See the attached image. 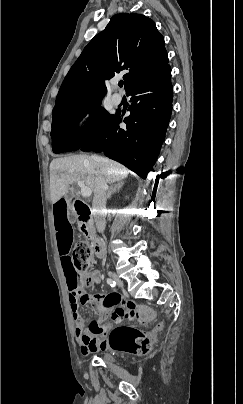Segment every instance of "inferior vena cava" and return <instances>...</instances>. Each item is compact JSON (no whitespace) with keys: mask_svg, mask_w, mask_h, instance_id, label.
Wrapping results in <instances>:
<instances>
[{"mask_svg":"<svg viewBox=\"0 0 243 404\" xmlns=\"http://www.w3.org/2000/svg\"><path fill=\"white\" fill-rule=\"evenodd\" d=\"M96 188L93 200V214L96 222V228L100 234L104 232L106 222L104 218L105 210H106V190L107 184L105 182L104 176L100 174L99 170H96Z\"/></svg>","mask_w":243,"mask_h":404,"instance_id":"602c4592","label":"inferior vena cava"}]
</instances>
